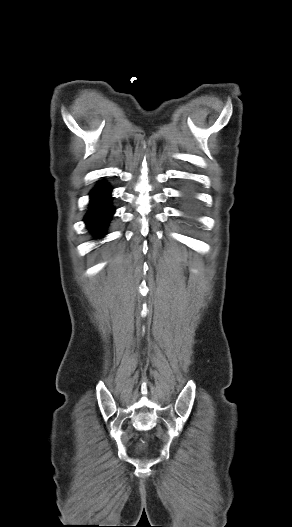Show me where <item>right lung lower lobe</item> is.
<instances>
[{
  "mask_svg": "<svg viewBox=\"0 0 292 527\" xmlns=\"http://www.w3.org/2000/svg\"><path fill=\"white\" fill-rule=\"evenodd\" d=\"M110 193L111 188L105 183L98 184L90 193V208L84 221L97 238L105 234V228L115 211L111 206Z\"/></svg>",
  "mask_w": 292,
  "mask_h": 527,
  "instance_id": "obj_1",
  "label": "right lung lower lobe"
}]
</instances>
